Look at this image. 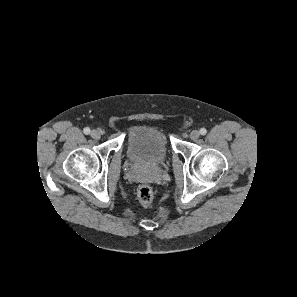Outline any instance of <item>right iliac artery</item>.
I'll use <instances>...</instances> for the list:
<instances>
[{
    "label": "right iliac artery",
    "instance_id": "82829eb1",
    "mask_svg": "<svg viewBox=\"0 0 297 297\" xmlns=\"http://www.w3.org/2000/svg\"><path fill=\"white\" fill-rule=\"evenodd\" d=\"M83 132L85 134H89L90 133V128H88V127L84 128Z\"/></svg>",
    "mask_w": 297,
    "mask_h": 297
}]
</instances>
